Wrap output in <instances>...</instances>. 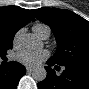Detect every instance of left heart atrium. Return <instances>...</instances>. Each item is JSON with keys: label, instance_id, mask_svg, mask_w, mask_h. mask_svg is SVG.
<instances>
[{"label": "left heart atrium", "instance_id": "left-heart-atrium-1", "mask_svg": "<svg viewBox=\"0 0 89 89\" xmlns=\"http://www.w3.org/2000/svg\"><path fill=\"white\" fill-rule=\"evenodd\" d=\"M48 53L46 51L34 52L29 50L21 51L17 54V60L29 67L38 66L45 58Z\"/></svg>", "mask_w": 89, "mask_h": 89}]
</instances>
